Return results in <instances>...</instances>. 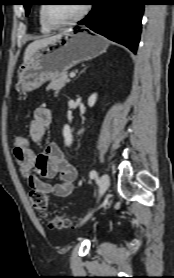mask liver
Returning a JSON list of instances; mask_svg holds the SVG:
<instances>
[{
    "label": "liver",
    "mask_w": 174,
    "mask_h": 278,
    "mask_svg": "<svg viewBox=\"0 0 174 278\" xmlns=\"http://www.w3.org/2000/svg\"><path fill=\"white\" fill-rule=\"evenodd\" d=\"M69 31V30H68ZM62 34H58L55 36H51V37H46L40 40H36L32 43H30L24 53V60H26L27 58H29L37 49H39L42 46L48 45L49 43L55 41L56 39H58Z\"/></svg>",
    "instance_id": "obj_1"
}]
</instances>
